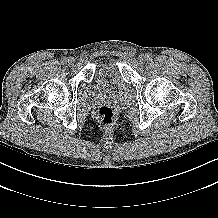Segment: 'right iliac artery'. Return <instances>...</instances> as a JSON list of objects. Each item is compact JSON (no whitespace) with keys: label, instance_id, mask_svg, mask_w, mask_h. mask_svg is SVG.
Listing matches in <instances>:
<instances>
[{"label":"right iliac artery","instance_id":"right-iliac-artery-1","mask_svg":"<svg viewBox=\"0 0 218 218\" xmlns=\"http://www.w3.org/2000/svg\"><path fill=\"white\" fill-rule=\"evenodd\" d=\"M61 61H62L63 64H65L67 62V58L64 57V58L61 59Z\"/></svg>","mask_w":218,"mask_h":218}]
</instances>
